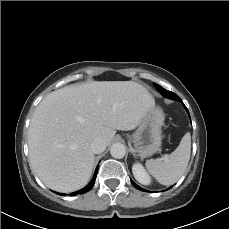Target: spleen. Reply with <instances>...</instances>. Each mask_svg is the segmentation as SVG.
<instances>
[{
    "label": "spleen",
    "mask_w": 229,
    "mask_h": 229,
    "mask_svg": "<svg viewBox=\"0 0 229 229\" xmlns=\"http://www.w3.org/2000/svg\"><path fill=\"white\" fill-rule=\"evenodd\" d=\"M191 136L186 133L179 146L165 158L150 159L146 162L148 172L161 184L172 185L184 174L190 159Z\"/></svg>",
    "instance_id": "spleen-1"
}]
</instances>
